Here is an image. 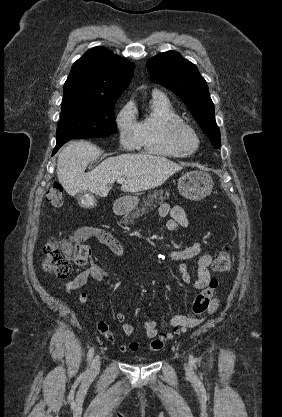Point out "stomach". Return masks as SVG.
I'll return each mask as SVG.
<instances>
[{
    "label": "stomach",
    "mask_w": 282,
    "mask_h": 417,
    "mask_svg": "<svg viewBox=\"0 0 282 417\" xmlns=\"http://www.w3.org/2000/svg\"><path fill=\"white\" fill-rule=\"evenodd\" d=\"M212 176L206 170H190L182 174L178 180V190L182 196L189 200H201L212 192ZM124 204L129 211L136 209L138 196H123Z\"/></svg>",
    "instance_id": "0dacf381"
}]
</instances>
